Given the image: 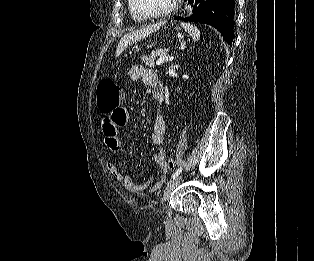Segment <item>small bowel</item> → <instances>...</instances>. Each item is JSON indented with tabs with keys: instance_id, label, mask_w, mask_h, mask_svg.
Listing matches in <instances>:
<instances>
[{
	"instance_id": "small-bowel-1",
	"label": "small bowel",
	"mask_w": 314,
	"mask_h": 261,
	"mask_svg": "<svg viewBox=\"0 0 314 261\" xmlns=\"http://www.w3.org/2000/svg\"><path fill=\"white\" fill-rule=\"evenodd\" d=\"M129 77L132 80H142V82L152 87L154 98L159 91L163 92V86L160 83L157 74L149 69H146L141 64H134L129 69ZM129 120V113L127 109H112L109 116L103 120L101 130L105 131L106 144L109 149L118 151L122 148V140L119 137V131H123V127ZM166 122L162 115H157L153 122V128L151 132V141L154 145L161 146L165 141ZM154 161L160 166L163 171H166V151L160 148L153 156ZM107 169L109 173L117 179L122 188L129 193H139L143 191H154L158 188L163 179L155 180L154 178L148 180L145 183L136 185L133 182L131 176L123 174L119 167L114 163H108Z\"/></svg>"
}]
</instances>
